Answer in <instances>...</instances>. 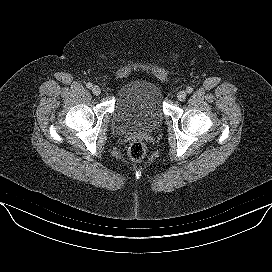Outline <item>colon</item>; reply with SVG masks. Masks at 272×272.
I'll return each instance as SVG.
<instances>
[{"mask_svg": "<svg viewBox=\"0 0 272 272\" xmlns=\"http://www.w3.org/2000/svg\"><path fill=\"white\" fill-rule=\"evenodd\" d=\"M146 153V147L141 141L133 142L128 150L129 157L136 162H141Z\"/></svg>", "mask_w": 272, "mask_h": 272, "instance_id": "colon-1", "label": "colon"}]
</instances>
